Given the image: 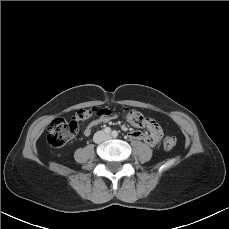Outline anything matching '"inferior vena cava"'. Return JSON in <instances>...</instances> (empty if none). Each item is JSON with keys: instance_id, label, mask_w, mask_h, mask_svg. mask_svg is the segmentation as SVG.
<instances>
[{"instance_id": "inferior-vena-cava-1", "label": "inferior vena cava", "mask_w": 229, "mask_h": 229, "mask_svg": "<svg viewBox=\"0 0 229 229\" xmlns=\"http://www.w3.org/2000/svg\"><path fill=\"white\" fill-rule=\"evenodd\" d=\"M106 139H108V136L103 131H98L94 135V141L96 143H101L105 141Z\"/></svg>"}]
</instances>
